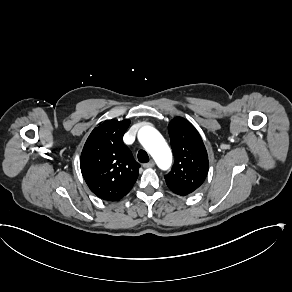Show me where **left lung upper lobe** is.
<instances>
[{
    "label": "left lung upper lobe",
    "mask_w": 292,
    "mask_h": 292,
    "mask_svg": "<svg viewBox=\"0 0 292 292\" xmlns=\"http://www.w3.org/2000/svg\"><path fill=\"white\" fill-rule=\"evenodd\" d=\"M174 154L172 170L165 175L168 188L178 195H188L198 189L209 169L203 140L195 127L185 118L175 117L168 125Z\"/></svg>",
    "instance_id": "1"
}]
</instances>
